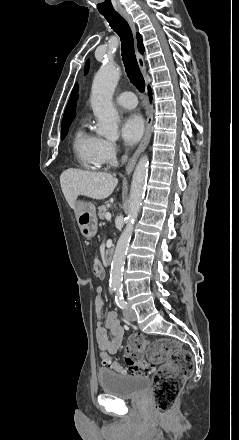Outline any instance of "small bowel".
Masks as SVG:
<instances>
[{
    "mask_svg": "<svg viewBox=\"0 0 239 440\" xmlns=\"http://www.w3.org/2000/svg\"><path fill=\"white\" fill-rule=\"evenodd\" d=\"M103 288L98 286L96 288L95 296V311L97 316V328H96V339L98 347L101 350L100 359L104 365H107L114 369L113 359L110 355L115 354L121 346L123 339V328L118 319L116 312L111 311L107 316H103V299H102ZM115 370V369H114Z\"/></svg>",
    "mask_w": 239,
    "mask_h": 440,
    "instance_id": "1",
    "label": "small bowel"
}]
</instances>
